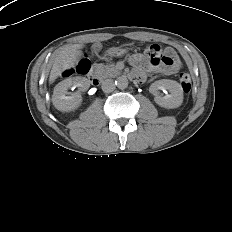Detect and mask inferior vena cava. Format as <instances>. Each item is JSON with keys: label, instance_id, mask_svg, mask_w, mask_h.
<instances>
[{"label": "inferior vena cava", "instance_id": "602c4592", "mask_svg": "<svg viewBox=\"0 0 232 232\" xmlns=\"http://www.w3.org/2000/svg\"><path fill=\"white\" fill-rule=\"evenodd\" d=\"M102 90L105 92V93H110L112 91L115 90V84H114V81L112 79H106L102 82Z\"/></svg>", "mask_w": 232, "mask_h": 232}]
</instances>
